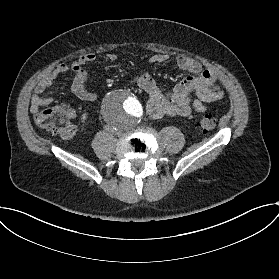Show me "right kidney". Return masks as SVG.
<instances>
[{
  "label": "right kidney",
  "instance_id": "right-kidney-1",
  "mask_svg": "<svg viewBox=\"0 0 279 279\" xmlns=\"http://www.w3.org/2000/svg\"><path fill=\"white\" fill-rule=\"evenodd\" d=\"M86 119H87V114L86 113L82 114L81 121L85 122Z\"/></svg>",
  "mask_w": 279,
  "mask_h": 279
}]
</instances>
